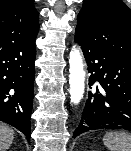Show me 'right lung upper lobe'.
Segmentation results:
<instances>
[{"mask_svg": "<svg viewBox=\"0 0 131 151\" xmlns=\"http://www.w3.org/2000/svg\"><path fill=\"white\" fill-rule=\"evenodd\" d=\"M34 0H0V41L8 42L37 35L39 13Z\"/></svg>", "mask_w": 131, "mask_h": 151, "instance_id": "obj_1", "label": "right lung upper lobe"}]
</instances>
